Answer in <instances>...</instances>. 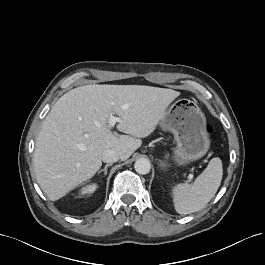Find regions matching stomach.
Returning a JSON list of instances; mask_svg holds the SVG:
<instances>
[{
  "instance_id": "obj_1",
  "label": "stomach",
  "mask_w": 265,
  "mask_h": 265,
  "mask_svg": "<svg viewBox=\"0 0 265 265\" xmlns=\"http://www.w3.org/2000/svg\"><path fill=\"white\" fill-rule=\"evenodd\" d=\"M159 124L174 135L173 157L178 164L198 160L209 150L206 119L196 102L186 98L175 101L166 109Z\"/></svg>"
}]
</instances>
